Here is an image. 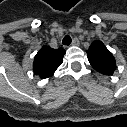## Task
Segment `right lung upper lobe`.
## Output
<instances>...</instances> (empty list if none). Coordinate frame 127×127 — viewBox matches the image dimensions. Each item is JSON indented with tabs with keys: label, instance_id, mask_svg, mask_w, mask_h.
I'll return each instance as SVG.
<instances>
[{
	"label": "right lung upper lobe",
	"instance_id": "1",
	"mask_svg": "<svg viewBox=\"0 0 127 127\" xmlns=\"http://www.w3.org/2000/svg\"><path fill=\"white\" fill-rule=\"evenodd\" d=\"M64 54L65 50L63 48L55 50L48 46H43L34 58V74L42 79L52 76L55 70L62 64Z\"/></svg>",
	"mask_w": 127,
	"mask_h": 127
}]
</instances>
